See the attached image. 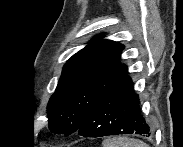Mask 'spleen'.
Instances as JSON below:
<instances>
[{"mask_svg":"<svg viewBox=\"0 0 183 147\" xmlns=\"http://www.w3.org/2000/svg\"><path fill=\"white\" fill-rule=\"evenodd\" d=\"M103 147H148L141 140L127 137H113L103 141Z\"/></svg>","mask_w":183,"mask_h":147,"instance_id":"spleen-1","label":"spleen"}]
</instances>
